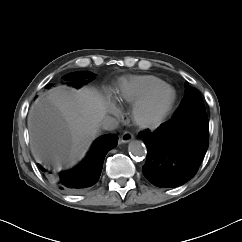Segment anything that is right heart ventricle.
<instances>
[{
  "instance_id": "right-heart-ventricle-1",
  "label": "right heart ventricle",
  "mask_w": 242,
  "mask_h": 242,
  "mask_svg": "<svg viewBox=\"0 0 242 242\" xmlns=\"http://www.w3.org/2000/svg\"><path fill=\"white\" fill-rule=\"evenodd\" d=\"M166 85L165 81L154 75L131 76L121 80L114 89L118 101L134 104L154 89Z\"/></svg>"
}]
</instances>
